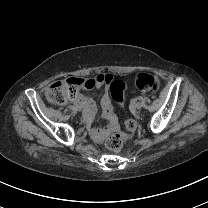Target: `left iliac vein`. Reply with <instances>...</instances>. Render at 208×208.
<instances>
[{
    "mask_svg": "<svg viewBox=\"0 0 208 208\" xmlns=\"http://www.w3.org/2000/svg\"><path fill=\"white\" fill-rule=\"evenodd\" d=\"M135 106H136L137 109H141L142 106H143V103L142 102H137Z\"/></svg>",
    "mask_w": 208,
    "mask_h": 208,
    "instance_id": "4c4485c4",
    "label": "left iliac vein"
}]
</instances>
